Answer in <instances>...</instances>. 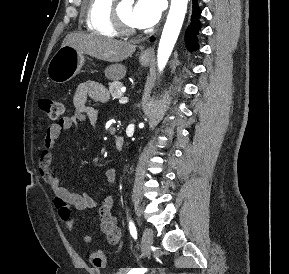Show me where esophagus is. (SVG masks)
Masks as SVG:
<instances>
[{
	"label": "esophagus",
	"instance_id": "obj_1",
	"mask_svg": "<svg viewBox=\"0 0 289 274\" xmlns=\"http://www.w3.org/2000/svg\"><path fill=\"white\" fill-rule=\"evenodd\" d=\"M153 53V48L152 47H148L147 49H145L143 52H142V54L144 55V56H149V55H151Z\"/></svg>",
	"mask_w": 289,
	"mask_h": 274
}]
</instances>
